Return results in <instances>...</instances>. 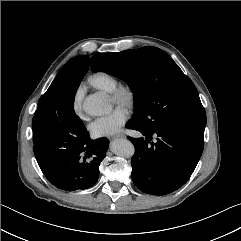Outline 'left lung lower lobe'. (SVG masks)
Here are the masks:
<instances>
[{"label":"left lung lower lobe","instance_id":"0a47b994","mask_svg":"<svg viewBox=\"0 0 241 241\" xmlns=\"http://www.w3.org/2000/svg\"><path fill=\"white\" fill-rule=\"evenodd\" d=\"M127 128L140 131L144 138H129L135 146L131 159L132 180L141 191L153 195L169 194L183 186L193 173L204 148V128L169 123L149 132L137 120ZM158 136L156 143L148 138Z\"/></svg>","mask_w":241,"mask_h":241}]
</instances>
